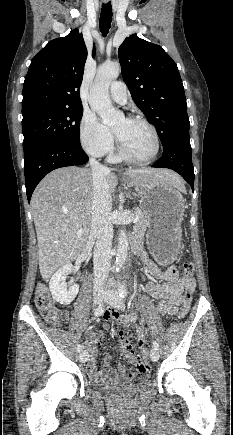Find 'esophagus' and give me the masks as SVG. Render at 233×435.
I'll list each match as a JSON object with an SVG mask.
<instances>
[{"instance_id":"34e87169","label":"esophagus","mask_w":233,"mask_h":435,"mask_svg":"<svg viewBox=\"0 0 233 435\" xmlns=\"http://www.w3.org/2000/svg\"><path fill=\"white\" fill-rule=\"evenodd\" d=\"M104 2L106 3V2H108V0H104Z\"/></svg>"}]
</instances>
